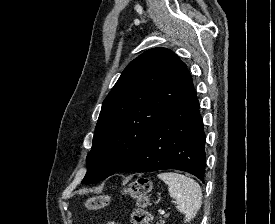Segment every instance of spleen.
I'll return each mask as SVG.
<instances>
[{
  "mask_svg": "<svg viewBox=\"0 0 275 224\" xmlns=\"http://www.w3.org/2000/svg\"><path fill=\"white\" fill-rule=\"evenodd\" d=\"M158 178L168 185L170 197L176 200L178 211L185 215V222L195 218L202 204V191L199 184L185 175L165 172Z\"/></svg>",
  "mask_w": 275,
  "mask_h": 224,
  "instance_id": "1",
  "label": "spleen"
}]
</instances>
